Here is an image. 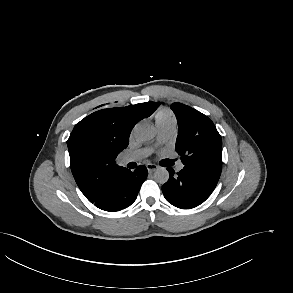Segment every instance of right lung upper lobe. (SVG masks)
I'll list each match as a JSON object with an SVG mask.
<instances>
[{
	"mask_svg": "<svg viewBox=\"0 0 293 293\" xmlns=\"http://www.w3.org/2000/svg\"><path fill=\"white\" fill-rule=\"evenodd\" d=\"M159 102L102 109L77 123L67 141L70 165L81 192L91 202L101 198L111 181L127 168L115 163L128 146L135 124L150 116Z\"/></svg>",
	"mask_w": 293,
	"mask_h": 293,
	"instance_id": "cb5924a9",
	"label": "right lung upper lobe"
}]
</instances>
